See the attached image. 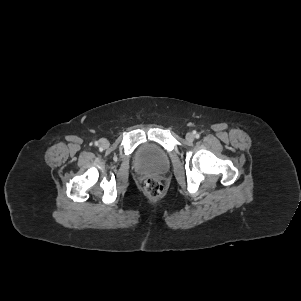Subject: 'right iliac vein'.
<instances>
[{
	"label": "right iliac vein",
	"mask_w": 301,
	"mask_h": 301,
	"mask_svg": "<svg viewBox=\"0 0 301 301\" xmlns=\"http://www.w3.org/2000/svg\"><path fill=\"white\" fill-rule=\"evenodd\" d=\"M99 146H100L101 148H103V149L107 148V147L109 146L108 140H107V139H104V138L100 139V140H99Z\"/></svg>",
	"instance_id": "63e3f726"
}]
</instances>
